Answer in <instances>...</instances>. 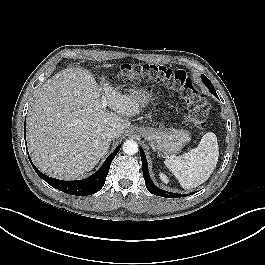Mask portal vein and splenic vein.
I'll list each match as a JSON object with an SVG mask.
<instances>
[{"label": "portal vein and splenic vein", "instance_id": "portal-vein-and-splenic-vein-1", "mask_svg": "<svg viewBox=\"0 0 265 265\" xmlns=\"http://www.w3.org/2000/svg\"><path fill=\"white\" fill-rule=\"evenodd\" d=\"M106 107H107V100L104 96H102V108L106 109Z\"/></svg>", "mask_w": 265, "mask_h": 265}]
</instances>
